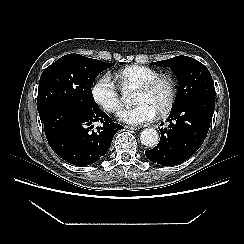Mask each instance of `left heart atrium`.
Returning a JSON list of instances; mask_svg holds the SVG:
<instances>
[{"mask_svg":"<svg viewBox=\"0 0 244 244\" xmlns=\"http://www.w3.org/2000/svg\"><path fill=\"white\" fill-rule=\"evenodd\" d=\"M156 111L146 103H139L132 107L122 109L118 117L121 121L131 125H140L153 120Z\"/></svg>","mask_w":244,"mask_h":244,"instance_id":"1","label":"left heart atrium"}]
</instances>
